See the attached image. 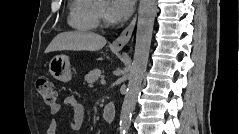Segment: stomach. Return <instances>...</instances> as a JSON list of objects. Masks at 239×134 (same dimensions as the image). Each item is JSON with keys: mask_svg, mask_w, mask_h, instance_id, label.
Returning <instances> with one entry per match:
<instances>
[{"mask_svg": "<svg viewBox=\"0 0 239 134\" xmlns=\"http://www.w3.org/2000/svg\"><path fill=\"white\" fill-rule=\"evenodd\" d=\"M119 49H116L118 51ZM49 72L57 80L68 82L72 78L70 61L65 55L54 56L49 62Z\"/></svg>", "mask_w": 239, "mask_h": 134, "instance_id": "1", "label": "stomach"}]
</instances>
